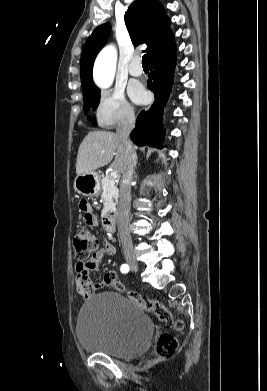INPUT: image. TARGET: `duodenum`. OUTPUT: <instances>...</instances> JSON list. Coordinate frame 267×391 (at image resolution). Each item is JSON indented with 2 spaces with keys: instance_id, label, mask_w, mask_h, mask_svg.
I'll use <instances>...</instances> for the list:
<instances>
[{
  "instance_id": "obj_1",
  "label": "duodenum",
  "mask_w": 267,
  "mask_h": 391,
  "mask_svg": "<svg viewBox=\"0 0 267 391\" xmlns=\"http://www.w3.org/2000/svg\"><path fill=\"white\" fill-rule=\"evenodd\" d=\"M116 212L115 210L107 211L102 218V226L105 231L113 232L115 230Z\"/></svg>"
}]
</instances>
